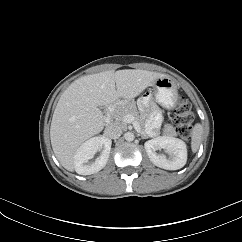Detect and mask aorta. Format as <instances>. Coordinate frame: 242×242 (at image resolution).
Wrapping results in <instances>:
<instances>
[{
    "mask_svg": "<svg viewBox=\"0 0 242 242\" xmlns=\"http://www.w3.org/2000/svg\"><path fill=\"white\" fill-rule=\"evenodd\" d=\"M124 138L126 141L131 142L134 140L135 136L132 132H127L125 133Z\"/></svg>",
    "mask_w": 242,
    "mask_h": 242,
    "instance_id": "obj_1",
    "label": "aorta"
}]
</instances>
